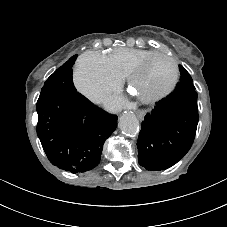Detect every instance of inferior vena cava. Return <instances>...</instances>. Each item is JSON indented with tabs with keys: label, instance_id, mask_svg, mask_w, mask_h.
Returning a JSON list of instances; mask_svg holds the SVG:
<instances>
[{
	"label": "inferior vena cava",
	"instance_id": "1",
	"mask_svg": "<svg viewBox=\"0 0 227 227\" xmlns=\"http://www.w3.org/2000/svg\"><path fill=\"white\" fill-rule=\"evenodd\" d=\"M104 98V95L101 93H95L92 97L91 100L96 103H100Z\"/></svg>",
	"mask_w": 227,
	"mask_h": 227
}]
</instances>
